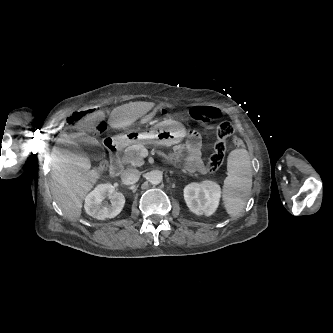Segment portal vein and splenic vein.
Wrapping results in <instances>:
<instances>
[{
	"mask_svg": "<svg viewBox=\"0 0 333 333\" xmlns=\"http://www.w3.org/2000/svg\"><path fill=\"white\" fill-rule=\"evenodd\" d=\"M148 155V151L146 149H143L141 152L142 157H146Z\"/></svg>",
	"mask_w": 333,
	"mask_h": 333,
	"instance_id": "1",
	"label": "portal vein and splenic vein"
}]
</instances>
